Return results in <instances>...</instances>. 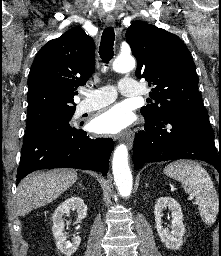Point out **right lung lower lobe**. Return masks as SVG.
I'll return each mask as SVG.
<instances>
[{"label":"right lung lower lobe","mask_w":221,"mask_h":256,"mask_svg":"<svg viewBox=\"0 0 221 256\" xmlns=\"http://www.w3.org/2000/svg\"><path fill=\"white\" fill-rule=\"evenodd\" d=\"M69 121L51 122L25 134L17 181L35 170L50 168L86 169L106 175L113 140L92 139Z\"/></svg>","instance_id":"98d812e1"}]
</instances>
